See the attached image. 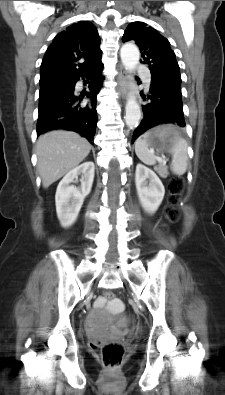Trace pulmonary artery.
<instances>
[{"mask_svg": "<svg viewBox=\"0 0 225 395\" xmlns=\"http://www.w3.org/2000/svg\"><path fill=\"white\" fill-rule=\"evenodd\" d=\"M140 72H141V76L143 78V81L145 82V84L148 86L150 84L151 81V76L148 70H146L145 68H140Z\"/></svg>", "mask_w": 225, "mask_h": 395, "instance_id": "obj_1", "label": "pulmonary artery"}]
</instances>
